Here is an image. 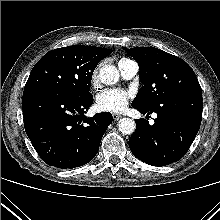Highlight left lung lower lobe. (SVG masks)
<instances>
[{
    "instance_id": "left-lung-lower-lobe-1",
    "label": "left lung lower lobe",
    "mask_w": 220,
    "mask_h": 220,
    "mask_svg": "<svg viewBox=\"0 0 220 220\" xmlns=\"http://www.w3.org/2000/svg\"><path fill=\"white\" fill-rule=\"evenodd\" d=\"M142 114L157 113L151 126L143 118L129 139L135 157L153 166H165L181 159L191 146L202 119V92H186L164 101L152 110L133 106Z\"/></svg>"
}]
</instances>
